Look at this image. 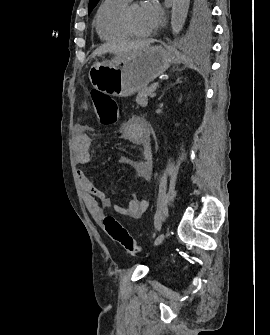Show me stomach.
Here are the masks:
<instances>
[{
  "label": "stomach",
  "mask_w": 270,
  "mask_h": 335,
  "mask_svg": "<svg viewBox=\"0 0 270 335\" xmlns=\"http://www.w3.org/2000/svg\"><path fill=\"white\" fill-rule=\"evenodd\" d=\"M179 54L161 46H146L142 50L115 56L112 62H96L91 66V84L108 96L127 98L140 92L168 70L176 62Z\"/></svg>",
  "instance_id": "0dacf381"
}]
</instances>
